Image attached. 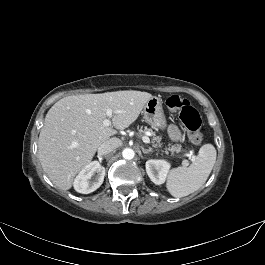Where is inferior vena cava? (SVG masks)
<instances>
[{
	"mask_svg": "<svg viewBox=\"0 0 265 265\" xmlns=\"http://www.w3.org/2000/svg\"><path fill=\"white\" fill-rule=\"evenodd\" d=\"M120 145V140L117 138H111L102 143L98 148L99 155H106L116 149Z\"/></svg>",
	"mask_w": 265,
	"mask_h": 265,
	"instance_id": "1",
	"label": "inferior vena cava"
}]
</instances>
